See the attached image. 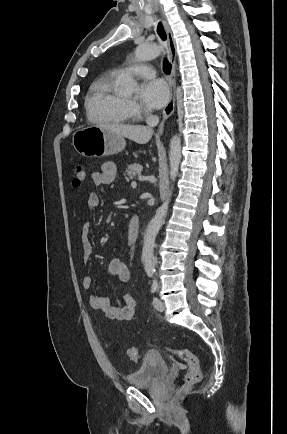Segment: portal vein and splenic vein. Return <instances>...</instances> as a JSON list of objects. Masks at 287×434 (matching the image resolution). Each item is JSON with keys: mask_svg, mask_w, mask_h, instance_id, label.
Here are the masks:
<instances>
[{"mask_svg": "<svg viewBox=\"0 0 287 434\" xmlns=\"http://www.w3.org/2000/svg\"><path fill=\"white\" fill-rule=\"evenodd\" d=\"M131 186H132L133 188H136L137 183H136L135 181H133V182L131 183Z\"/></svg>", "mask_w": 287, "mask_h": 434, "instance_id": "portal-vein-and-splenic-vein-1", "label": "portal vein and splenic vein"}]
</instances>
